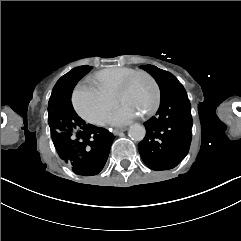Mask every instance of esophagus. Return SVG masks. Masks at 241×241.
Segmentation results:
<instances>
[{"label": "esophagus", "mask_w": 241, "mask_h": 241, "mask_svg": "<svg viewBox=\"0 0 241 241\" xmlns=\"http://www.w3.org/2000/svg\"><path fill=\"white\" fill-rule=\"evenodd\" d=\"M126 131V128H117V129H114L113 130V134L115 136H117L118 134H120L121 132H125Z\"/></svg>", "instance_id": "obj_1"}]
</instances>
